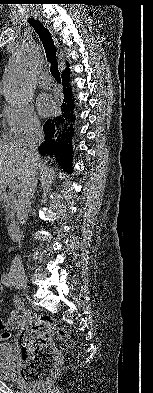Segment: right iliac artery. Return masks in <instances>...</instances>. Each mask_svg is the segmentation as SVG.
I'll return each mask as SVG.
<instances>
[{"label": "right iliac artery", "instance_id": "82829eb1", "mask_svg": "<svg viewBox=\"0 0 153 393\" xmlns=\"http://www.w3.org/2000/svg\"><path fill=\"white\" fill-rule=\"evenodd\" d=\"M1 281L7 287L13 284V278L10 274H3L1 277Z\"/></svg>", "mask_w": 153, "mask_h": 393}]
</instances>
